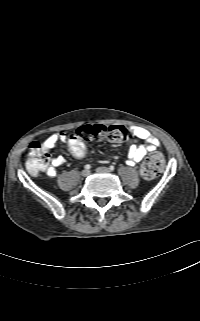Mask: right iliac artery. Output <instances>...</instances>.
<instances>
[{
	"label": "right iliac artery",
	"mask_w": 200,
	"mask_h": 321,
	"mask_svg": "<svg viewBox=\"0 0 200 321\" xmlns=\"http://www.w3.org/2000/svg\"><path fill=\"white\" fill-rule=\"evenodd\" d=\"M91 166L89 164L85 165V169H90Z\"/></svg>",
	"instance_id": "1"
}]
</instances>
